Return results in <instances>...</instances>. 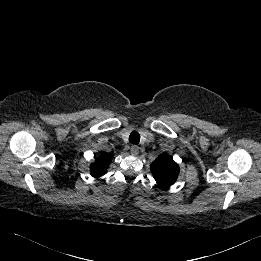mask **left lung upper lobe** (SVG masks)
I'll return each instance as SVG.
<instances>
[{"label":"left lung upper lobe","mask_w":261,"mask_h":261,"mask_svg":"<svg viewBox=\"0 0 261 261\" xmlns=\"http://www.w3.org/2000/svg\"><path fill=\"white\" fill-rule=\"evenodd\" d=\"M150 169L157 184L168 187L175 183L179 174V166L166 153L157 157L150 165Z\"/></svg>","instance_id":"1"}]
</instances>
